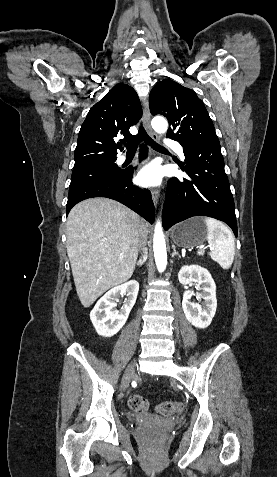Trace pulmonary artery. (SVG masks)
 <instances>
[{
  "mask_svg": "<svg viewBox=\"0 0 277 477\" xmlns=\"http://www.w3.org/2000/svg\"><path fill=\"white\" fill-rule=\"evenodd\" d=\"M168 146L171 147L174 151L177 152V154L181 157V158H184V152H183V148L182 146L178 143V142H174V141H168L167 142ZM126 158L124 156H120L118 158V162L119 163H123L125 162Z\"/></svg>",
  "mask_w": 277,
  "mask_h": 477,
  "instance_id": "1",
  "label": "pulmonary artery"
}]
</instances>
